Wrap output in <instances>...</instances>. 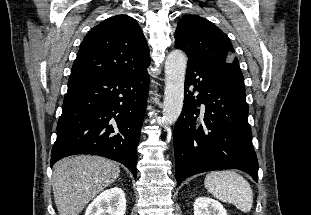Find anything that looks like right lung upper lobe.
Returning a JSON list of instances; mask_svg holds the SVG:
<instances>
[{
	"label": "right lung upper lobe",
	"mask_w": 311,
	"mask_h": 215,
	"mask_svg": "<svg viewBox=\"0 0 311 215\" xmlns=\"http://www.w3.org/2000/svg\"><path fill=\"white\" fill-rule=\"evenodd\" d=\"M149 64V48L137 21L127 15H117L88 32L80 44L70 76H126L145 71Z\"/></svg>",
	"instance_id": "obj_1"
}]
</instances>
